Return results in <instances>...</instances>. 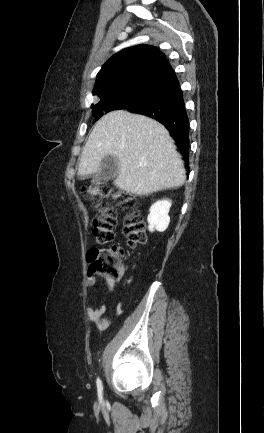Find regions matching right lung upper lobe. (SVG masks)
<instances>
[{
    "instance_id": "right-lung-upper-lobe-1",
    "label": "right lung upper lobe",
    "mask_w": 264,
    "mask_h": 433,
    "mask_svg": "<svg viewBox=\"0 0 264 433\" xmlns=\"http://www.w3.org/2000/svg\"><path fill=\"white\" fill-rule=\"evenodd\" d=\"M156 47L136 45L113 55L97 74L93 95L99 98L143 84L165 62Z\"/></svg>"
}]
</instances>
